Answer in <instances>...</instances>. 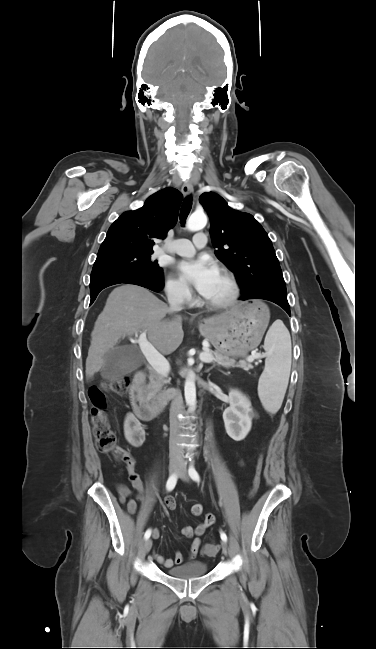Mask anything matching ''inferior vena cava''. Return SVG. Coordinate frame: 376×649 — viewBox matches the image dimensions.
Segmentation results:
<instances>
[{
	"label": "inferior vena cava",
	"mask_w": 376,
	"mask_h": 649,
	"mask_svg": "<svg viewBox=\"0 0 376 649\" xmlns=\"http://www.w3.org/2000/svg\"><path fill=\"white\" fill-rule=\"evenodd\" d=\"M183 290H184V286L180 285L168 292V302L170 308L173 311L182 310ZM182 405H183L182 397L179 394H175L173 398L172 411L178 412L179 410L182 409ZM179 429H180V424L178 423L175 415L173 414L171 418V437L169 443L170 455L181 456L182 454V447L178 444L181 441V438L178 435Z\"/></svg>",
	"instance_id": "inferior-vena-cava-1"
}]
</instances>
